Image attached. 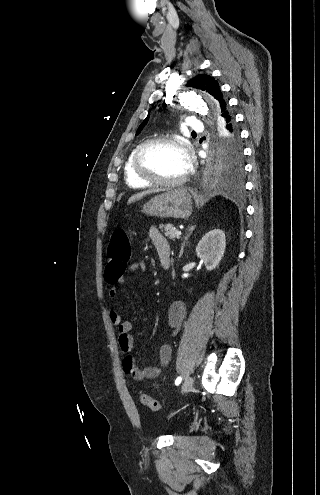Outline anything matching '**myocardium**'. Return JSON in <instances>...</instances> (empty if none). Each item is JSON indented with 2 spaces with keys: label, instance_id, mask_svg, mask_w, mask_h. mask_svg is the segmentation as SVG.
<instances>
[{
  "label": "myocardium",
  "instance_id": "f54148a6",
  "mask_svg": "<svg viewBox=\"0 0 320 495\" xmlns=\"http://www.w3.org/2000/svg\"><path fill=\"white\" fill-rule=\"evenodd\" d=\"M162 143H169V144L176 145V146L180 147L186 155V158L188 160V166H187L185 173L178 179L168 180V179L158 178V177L152 175L143 165V156H144L145 152L149 148H151L155 145H158V144H162ZM132 168H133L134 174L139 179L146 181V182L150 183L151 185L170 186V187L180 185L186 181V179L188 178V176L192 170L190 146L185 140L178 138V137H175V136H170V135L159 136V137H155V138L146 140L145 142H143L142 144H140L137 147V149L134 153V156H133Z\"/></svg>",
  "mask_w": 320,
  "mask_h": 495
}]
</instances>
